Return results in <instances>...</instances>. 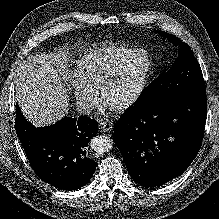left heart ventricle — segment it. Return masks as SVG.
Masks as SVG:
<instances>
[{"label":"left heart ventricle","mask_w":219,"mask_h":219,"mask_svg":"<svg viewBox=\"0 0 219 219\" xmlns=\"http://www.w3.org/2000/svg\"><path fill=\"white\" fill-rule=\"evenodd\" d=\"M149 65L148 58L139 54L126 61L106 90V103H119L129 98L139 86Z\"/></svg>","instance_id":"b2bd125f"}]
</instances>
